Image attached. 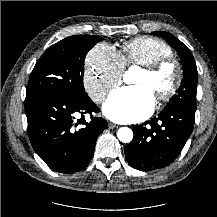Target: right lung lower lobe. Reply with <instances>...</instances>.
I'll list each match as a JSON object with an SVG mask.
<instances>
[{
    "label": "right lung lower lobe",
    "mask_w": 217,
    "mask_h": 217,
    "mask_svg": "<svg viewBox=\"0 0 217 217\" xmlns=\"http://www.w3.org/2000/svg\"><path fill=\"white\" fill-rule=\"evenodd\" d=\"M98 111L89 97L38 95L26 98L28 135L33 149L57 172L83 170L92 158L99 134L108 128L102 118L85 121L84 114ZM78 115L80 119L75 118Z\"/></svg>",
    "instance_id": "1"
}]
</instances>
